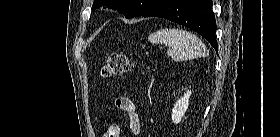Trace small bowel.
<instances>
[{"instance_id": "c3829d8e", "label": "small bowel", "mask_w": 280, "mask_h": 137, "mask_svg": "<svg viewBox=\"0 0 280 137\" xmlns=\"http://www.w3.org/2000/svg\"><path fill=\"white\" fill-rule=\"evenodd\" d=\"M115 105L127 118L131 131L134 134H138L141 130L139 122V104L131 98L121 97L115 100ZM112 127H118V125H111L108 129Z\"/></svg>"}]
</instances>
